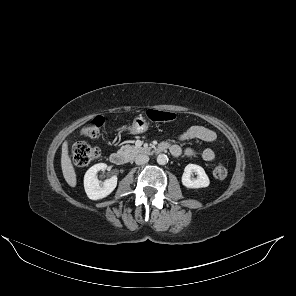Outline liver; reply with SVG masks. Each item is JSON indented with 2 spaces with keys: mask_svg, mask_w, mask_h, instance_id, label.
Here are the masks:
<instances>
[{
  "mask_svg": "<svg viewBox=\"0 0 296 296\" xmlns=\"http://www.w3.org/2000/svg\"><path fill=\"white\" fill-rule=\"evenodd\" d=\"M61 167H62L63 176L66 182L71 187H75L77 184V178H76V173L69 156L68 141H65L62 144Z\"/></svg>",
  "mask_w": 296,
  "mask_h": 296,
  "instance_id": "liver-1",
  "label": "liver"
}]
</instances>
